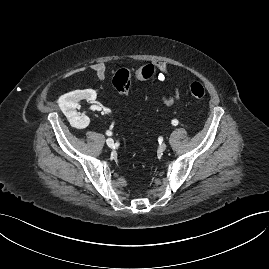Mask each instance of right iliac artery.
<instances>
[{
  "label": "right iliac artery",
  "mask_w": 269,
  "mask_h": 269,
  "mask_svg": "<svg viewBox=\"0 0 269 269\" xmlns=\"http://www.w3.org/2000/svg\"><path fill=\"white\" fill-rule=\"evenodd\" d=\"M106 134H107L108 136H110V135H112V132H111V131H107Z\"/></svg>",
  "instance_id": "right-iliac-artery-1"
}]
</instances>
